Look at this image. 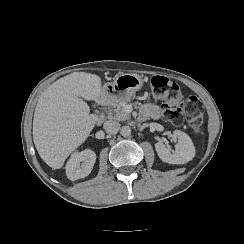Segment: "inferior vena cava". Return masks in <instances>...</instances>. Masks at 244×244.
Segmentation results:
<instances>
[{
	"label": "inferior vena cava",
	"mask_w": 244,
	"mask_h": 244,
	"mask_svg": "<svg viewBox=\"0 0 244 244\" xmlns=\"http://www.w3.org/2000/svg\"><path fill=\"white\" fill-rule=\"evenodd\" d=\"M103 129L108 134H116L120 129V123L114 120H107L103 123Z\"/></svg>",
	"instance_id": "inferior-vena-cava-1"
}]
</instances>
